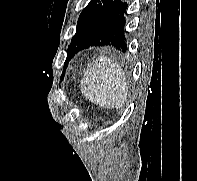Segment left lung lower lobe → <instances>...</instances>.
<instances>
[{"label": "left lung lower lobe", "instance_id": "obj_1", "mask_svg": "<svg viewBox=\"0 0 197 181\" xmlns=\"http://www.w3.org/2000/svg\"><path fill=\"white\" fill-rule=\"evenodd\" d=\"M127 3L113 0L81 50L90 46H113L117 50L127 49L124 26Z\"/></svg>", "mask_w": 197, "mask_h": 181}]
</instances>
